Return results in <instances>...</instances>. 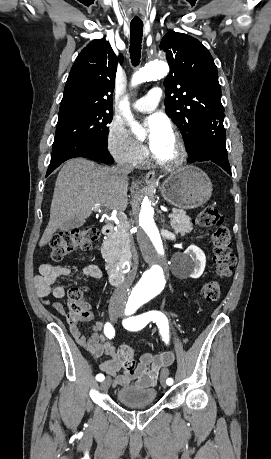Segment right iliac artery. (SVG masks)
Returning <instances> with one entry per match:
<instances>
[{
	"label": "right iliac artery",
	"mask_w": 271,
	"mask_h": 459,
	"mask_svg": "<svg viewBox=\"0 0 271 459\" xmlns=\"http://www.w3.org/2000/svg\"><path fill=\"white\" fill-rule=\"evenodd\" d=\"M104 333L109 339H112L115 336V330H114L113 326L108 322L104 326ZM104 378L105 377H104L103 374H98L96 376V380H98V381H103Z\"/></svg>",
	"instance_id": "82829eb1"
}]
</instances>
